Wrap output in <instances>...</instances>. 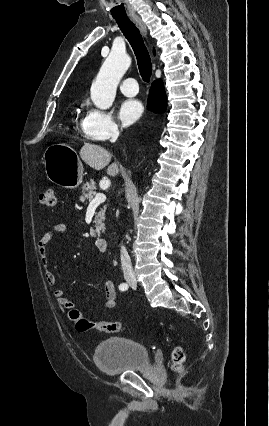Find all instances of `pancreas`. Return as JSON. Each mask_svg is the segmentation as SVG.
Here are the masks:
<instances>
[{
  "label": "pancreas",
  "mask_w": 269,
  "mask_h": 426,
  "mask_svg": "<svg viewBox=\"0 0 269 426\" xmlns=\"http://www.w3.org/2000/svg\"><path fill=\"white\" fill-rule=\"evenodd\" d=\"M96 189H97L96 183L94 180H91V182H86L85 184H83L82 195L80 197V200L84 202L85 200L91 201L92 199H94V196L96 195ZM105 211H106V207H103L102 209H100V211L96 215L94 220L95 229L94 228L90 229V235L92 237H95L96 235H100V232L105 230V225L103 223V221L105 220Z\"/></svg>",
  "instance_id": "pancreas-1"
}]
</instances>
